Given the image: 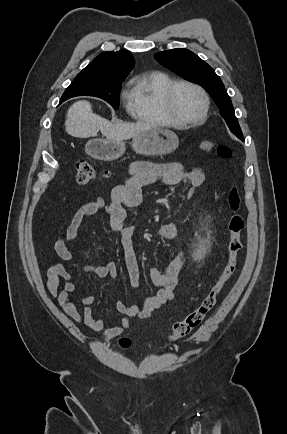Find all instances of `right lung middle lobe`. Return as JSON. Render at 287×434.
<instances>
[{
  "label": "right lung middle lobe",
  "mask_w": 287,
  "mask_h": 434,
  "mask_svg": "<svg viewBox=\"0 0 287 434\" xmlns=\"http://www.w3.org/2000/svg\"><path fill=\"white\" fill-rule=\"evenodd\" d=\"M123 81L77 76L63 93L60 103L71 97L86 95L99 97L108 102L114 109H118Z\"/></svg>",
  "instance_id": "dd1d6c3e"
}]
</instances>
